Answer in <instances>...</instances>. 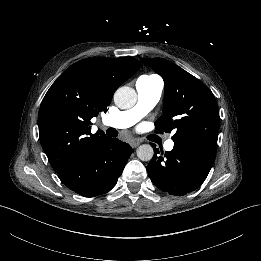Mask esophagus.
Masks as SVG:
<instances>
[{"mask_svg": "<svg viewBox=\"0 0 261 261\" xmlns=\"http://www.w3.org/2000/svg\"><path fill=\"white\" fill-rule=\"evenodd\" d=\"M141 141L138 140V139H133L131 142H130V145L132 148H136L140 145Z\"/></svg>", "mask_w": 261, "mask_h": 261, "instance_id": "34e87169", "label": "esophagus"}]
</instances>
